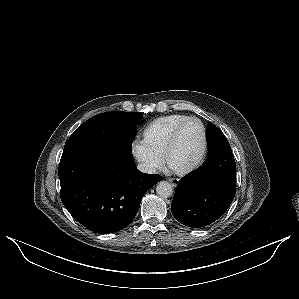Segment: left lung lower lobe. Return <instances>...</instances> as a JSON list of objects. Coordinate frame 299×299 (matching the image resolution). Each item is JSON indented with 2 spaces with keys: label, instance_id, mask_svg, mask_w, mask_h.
Masks as SVG:
<instances>
[{
  "label": "left lung lower lobe",
  "instance_id": "left-lung-lower-lobe-1",
  "mask_svg": "<svg viewBox=\"0 0 299 299\" xmlns=\"http://www.w3.org/2000/svg\"><path fill=\"white\" fill-rule=\"evenodd\" d=\"M204 164L178 184L171 212L180 223L200 228L220 218L236 193V164L231 149L208 146Z\"/></svg>",
  "mask_w": 299,
  "mask_h": 299
}]
</instances>
